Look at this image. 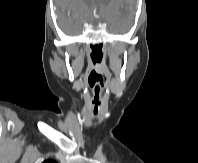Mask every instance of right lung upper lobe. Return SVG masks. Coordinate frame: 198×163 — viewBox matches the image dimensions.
<instances>
[{
	"label": "right lung upper lobe",
	"instance_id": "obj_1",
	"mask_svg": "<svg viewBox=\"0 0 198 163\" xmlns=\"http://www.w3.org/2000/svg\"><path fill=\"white\" fill-rule=\"evenodd\" d=\"M43 163H57V162L54 160H45Z\"/></svg>",
	"mask_w": 198,
	"mask_h": 163
}]
</instances>
